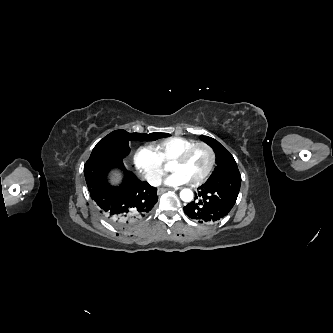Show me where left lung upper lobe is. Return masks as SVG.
<instances>
[{"instance_id": "5c2ea615", "label": "left lung upper lobe", "mask_w": 333, "mask_h": 333, "mask_svg": "<svg viewBox=\"0 0 333 333\" xmlns=\"http://www.w3.org/2000/svg\"><path fill=\"white\" fill-rule=\"evenodd\" d=\"M200 138L202 141L211 146L216 154L217 166L207 181L212 180L224 173L239 171L233 156L217 140L208 136H201Z\"/></svg>"}]
</instances>
